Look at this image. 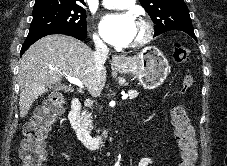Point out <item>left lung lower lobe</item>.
I'll return each instance as SVG.
<instances>
[{"label": "left lung lower lobe", "instance_id": "0a47b994", "mask_svg": "<svg viewBox=\"0 0 227 166\" xmlns=\"http://www.w3.org/2000/svg\"><path fill=\"white\" fill-rule=\"evenodd\" d=\"M187 34H189L192 38H194L197 41L194 31H189L187 32Z\"/></svg>", "mask_w": 227, "mask_h": 166}]
</instances>
